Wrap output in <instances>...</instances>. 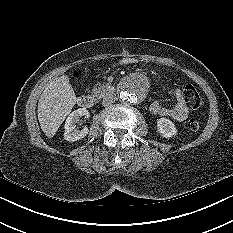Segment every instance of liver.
<instances>
[{
  "label": "liver",
  "instance_id": "obj_1",
  "mask_svg": "<svg viewBox=\"0 0 233 233\" xmlns=\"http://www.w3.org/2000/svg\"><path fill=\"white\" fill-rule=\"evenodd\" d=\"M76 104V95L67 75L51 80L38 102V120L44 134L51 138Z\"/></svg>",
  "mask_w": 233,
  "mask_h": 233
}]
</instances>
